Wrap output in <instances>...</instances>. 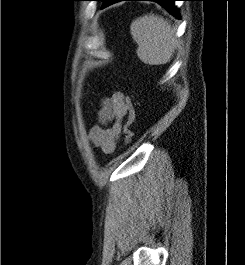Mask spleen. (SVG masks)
I'll use <instances>...</instances> for the list:
<instances>
[{"instance_id": "1", "label": "spleen", "mask_w": 245, "mask_h": 265, "mask_svg": "<svg viewBox=\"0 0 245 265\" xmlns=\"http://www.w3.org/2000/svg\"><path fill=\"white\" fill-rule=\"evenodd\" d=\"M137 43V55L145 64L161 65L170 62L178 45L175 29L163 17L149 14L135 19L130 26Z\"/></svg>"}]
</instances>
